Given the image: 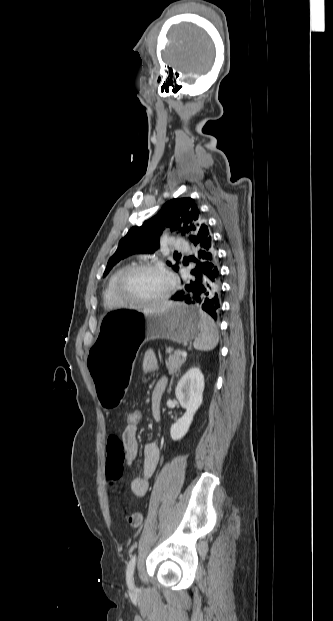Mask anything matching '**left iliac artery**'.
<instances>
[{"mask_svg":"<svg viewBox=\"0 0 333 621\" xmlns=\"http://www.w3.org/2000/svg\"><path fill=\"white\" fill-rule=\"evenodd\" d=\"M135 562H136V555L132 556V558L130 559L128 565H127V570H126V581L127 584L132 587L133 586V572H134V568H135Z\"/></svg>","mask_w":333,"mask_h":621,"instance_id":"left-iliac-artery-1","label":"left iliac artery"}]
</instances>
